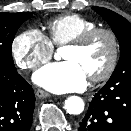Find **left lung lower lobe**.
Instances as JSON below:
<instances>
[{"label":"left lung lower lobe","mask_w":131,"mask_h":131,"mask_svg":"<svg viewBox=\"0 0 131 131\" xmlns=\"http://www.w3.org/2000/svg\"><path fill=\"white\" fill-rule=\"evenodd\" d=\"M78 131H131V83H106L94 95Z\"/></svg>","instance_id":"1"}]
</instances>
